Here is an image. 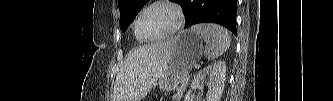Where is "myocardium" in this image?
<instances>
[{
  "label": "myocardium",
  "mask_w": 333,
  "mask_h": 101,
  "mask_svg": "<svg viewBox=\"0 0 333 101\" xmlns=\"http://www.w3.org/2000/svg\"><path fill=\"white\" fill-rule=\"evenodd\" d=\"M156 6H166V7L171 8L177 16V22H176V25L169 32L164 33V34H162L160 36H157V37L148 38V37H145V36L142 35V33L140 31V28H139V22H140L141 16L146 11H148L149 9H151L153 7H156ZM184 20H185L184 12H183L182 8L177 3L172 2V1H165V0L164 1H155V2H152L151 4H149L148 6H146L145 8H143L138 13V15L136 16L135 22H134V30H135L136 36L141 40L157 41V40L165 39V38L170 37V36L174 35L175 33H177L181 29V27L183 26Z\"/></svg>",
  "instance_id": "myocardium-1"
}]
</instances>
